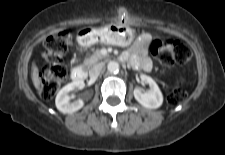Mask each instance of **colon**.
Listing matches in <instances>:
<instances>
[{"instance_id":"colon-1","label":"colon","mask_w":225,"mask_h":155,"mask_svg":"<svg viewBox=\"0 0 225 155\" xmlns=\"http://www.w3.org/2000/svg\"><path fill=\"white\" fill-rule=\"evenodd\" d=\"M71 44V34L62 31L46 38L43 57L47 64L40 74V96L51 99L67 78L68 70L61 61L68 52ZM152 55L163 65L172 67L175 64L183 65L191 59V50L187 44L169 39H156L150 44ZM186 96L183 79L177 81L175 88L169 93L167 102L170 105L179 104Z\"/></svg>"}]
</instances>
